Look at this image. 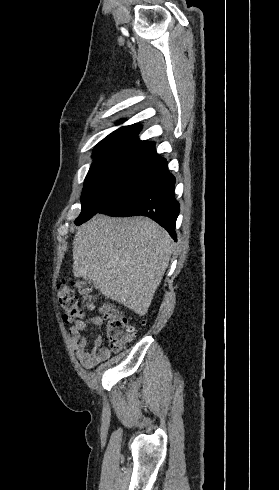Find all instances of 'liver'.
I'll use <instances>...</instances> for the list:
<instances>
[{
  "label": "liver",
  "instance_id": "obj_1",
  "mask_svg": "<svg viewBox=\"0 0 279 490\" xmlns=\"http://www.w3.org/2000/svg\"><path fill=\"white\" fill-rule=\"evenodd\" d=\"M172 240L150 218L97 214L73 242V276L93 282L110 300L145 316L173 254Z\"/></svg>",
  "mask_w": 279,
  "mask_h": 490
}]
</instances>
